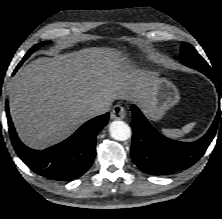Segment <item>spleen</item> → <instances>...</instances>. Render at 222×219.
<instances>
[{
  "mask_svg": "<svg viewBox=\"0 0 222 219\" xmlns=\"http://www.w3.org/2000/svg\"><path fill=\"white\" fill-rule=\"evenodd\" d=\"M195 122L185 125L181 130L180 129H163L162 133L172 139H178L184 134L189 133L195 126Z\"/></svg>",
  "mask_w": 222,
  "mask_h": 219,
  "instance_id": "obj_1",
  "label": "spleen"
}]
</instances>
